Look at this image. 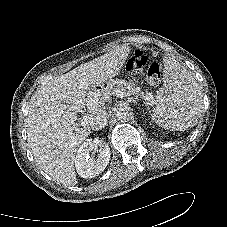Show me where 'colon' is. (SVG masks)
Returning a JSON list of instances; mask_svg holds the SVG:
<instances>
[{
  "label": "colon",
  "instance_id": "5ec220e1",
  "mask_svg": "<svg viewBox=\"0 0 227 227\" xmlns=\"http://www.w3.org/2000/svg\"><path fill=\"white\" fill-rule=\"evenodd\" d=\"M126 69L133 74H141L146 71L147 78L153 85H158L161 81L159 64L149 63L147 56L139 49L128 59Z\"/></svg>",
  "mask_w": 227,
  "mask_h": 227
}]
</instances>
